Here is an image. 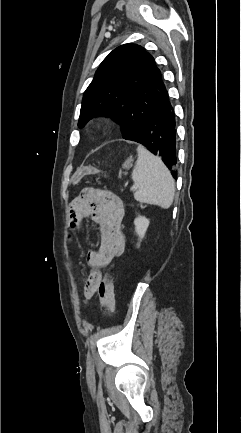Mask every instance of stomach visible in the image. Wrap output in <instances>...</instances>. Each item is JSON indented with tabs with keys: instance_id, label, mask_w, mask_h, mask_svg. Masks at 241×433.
<instances>
[{
	"instance_id": "0dacf381",
	"label": "stomach",
	"mask_w": 241,
	"mask_h": 433,
	"mask_svg": "<svg viewBox=\"0 0 241 433\" xmlns=\"http://www.w3.org/2000/svg\"><path fill=\"white\" fill-rule=\"evenodd\" d=\"M132 162H133V160H132V158L131 157H129L124 163H123V168L124 169H130L131 167H132Z\"/></svg>"
}]
</instances>
